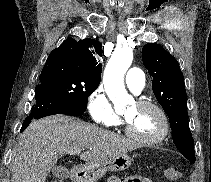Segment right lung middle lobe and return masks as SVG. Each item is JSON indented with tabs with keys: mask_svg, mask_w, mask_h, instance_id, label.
<instances>
[{
	"mask_svg": "<svg viewBox=\"0 0 211 182\" xmlns=\"http://www.w3.org/2000/svg\"><path fill=\"white\" fill-rule=\"evenodd\" d=\"M99 83L85 79L60 66H50L43 68L35 92L43 91L53 94L85 112L88 96L98 88Z\"/></svg>",
	"mask_w": 211,
	"mask_h": 182,
	"instance_id": "dd1d6c3e",
	"label": "right lung middle lobe"
}]
</instances>
